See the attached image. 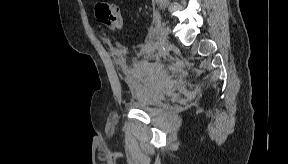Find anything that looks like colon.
<instances>
[{
    "label": "colon",
    "mask_w": 288,
    "mask_h": 164,
    "mask_svg": "<svg viewBox=\"0 0 288 164\" xmlns=\"http://www.w3.org/2000/svg\"><path fill=\"white\" fill-rule=\"evenodd\" d=\"M97 17L112 31H121L124 27V21L117 5L100 4L97 8Z\"/></svg>",
    "instance_id": "1"
}]
</instances>
